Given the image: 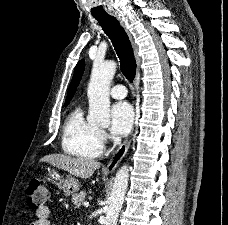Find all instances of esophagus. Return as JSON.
<instances>
[{
	"mask_svg": "<svg viewBox=\"0 0 228 225\" xmlns=\"http://www.w3.org/2000/svg\"><path fill=\"white\" fill-rule=\"evenodd\" d=\"M117 20H119L120 24L122 27L125 28V25H124V22L121 20L120 17H117ZM130 37V40L132 42V47H133V50H134V54H135V59H136V63H137V76H136V80H135V87L137 88V82H138V75H139V71H140V65H141V58L138 54V48L137 46L135 45V43L133 42V39H132V36L129 35ZM134 129H135V126L133 127L132 129V132L130 134L129 137H127L123 143H121L120 147L118 148V150L112 155L107 167L105 168V172L107 174H111L114 172L115 168L117 167V165L119 164V162L123 159V157L126 155L129 147H130V144H131V141H132V137H133V134H134Z\"/></svg>",
	"mask_w": 228,
	"mask_h": 225,
	"instance_id": "34e87169",
	"label": "esophagus"
}]
</instances>
